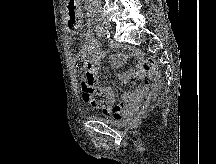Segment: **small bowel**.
I'll list each match as a JSON object with an SVG mask.
<instances>
[{
  "instance_id": "obj_1",
  "label": "small bowel",
  "mask_w": 216,
  "mask_h": 164,
  "mask_svg": "<svg viewBox=\"0 0 216 164\" xmlns=\"http://www.w3.org/2000/svg\"><path fill=\"white\" fill-rule=\"evenodd\" d=\"M84 41L80 47L81 56L77 57L76 62L79 58H87L86 62L90 63L96 69H98L104 53L101 50L100 44L94 37L91 29L87 28L83 31ZM119 60H124L125 56L119 54L117 55ZM137 60L139 61L136 69L124 71L120 75V80L123 82H131L133 78L142 77L145 73L143 65L140 62V57L137 55ZM134 84H137L134 81ZM147 87H139L135 92L123 94V102L115 105V97L113 91L106 85H101L97 87H87L84 83L82 84V98L83 100L90 104L94 109L102 111L105 116H109L114 120H122L135 110L138 103L147 94ZM96 96L102 97L101 101L95 99Z\"/></svg>"
}]
</instances>
